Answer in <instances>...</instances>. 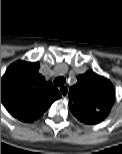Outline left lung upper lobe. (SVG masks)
I'll return each instance as SVG.
<instances>
[{
    "label": "left lung upper lobe",
    "instance_id": "5c2ea615",
    "mask_svg": "<svg viewBox=\"0 0 122 154\" xmlns=\"http://www.w3.org/2000/svg\"><path fill=\"white\" fill-rule=\"evenodd\" d=\"M115 99L112 83L92 70L77 77L69 91V107L85 124H97L109 114Z\"/></svg>",
    "mask_w": 122,
    "mask_h": 154
}]
</instances>
